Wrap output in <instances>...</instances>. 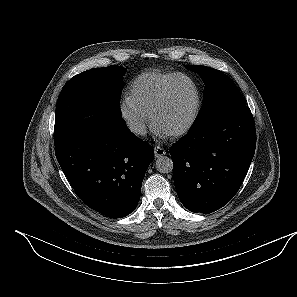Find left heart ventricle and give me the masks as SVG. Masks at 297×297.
Returning <instances> with one entry per match:
<instances>
[{
	"label": "left heart ventricle",
	"instance_id": "1",
	"mask_svg": "<svg viewBox=\"0 0 297 297\" xmlns=\"http://www.w3.org/2000/svg\"><path fill=\"white\" fill-rule=\"evenodd\" d=\"M195 104V93L191 84L178 81L171 89L165 105L154 117V127L170 135L181 128L190 118Z\"/></svg>",
	"mask_w": 297,
	"mask_h": 297
}]
</instances>
